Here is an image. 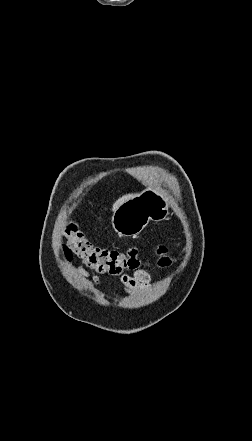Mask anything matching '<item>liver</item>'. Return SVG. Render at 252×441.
<instances>
[{"mask_svg": "<svg viewBox=\"0 0 252 441\" xmlns=\"http://www.w3.org/2000/svg\"><path fill=\"white\" fill-rule=\"evenodd\" d=\"M133 194L124 195L121 198H119L114 204L112 210L114 211L118 206H120L123 202H125L127 199L131 198Z\"/></svg>", "mask_w": 252, "mask_h": 441, "instance_id": "1", "label": "liver"}]
</instances>
